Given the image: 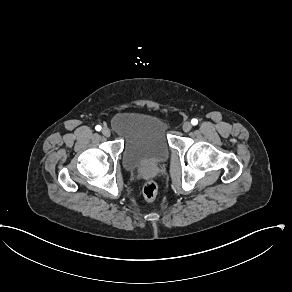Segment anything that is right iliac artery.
<instances>
[{"mask_svg": "<svg viewBox=\"0 0 292 292\" xmlns=\"http://www.w3.org/2000/svg\"><path fill=\"white\" fill-rule=\"evenodd\" d=\"M95 129H96V131H101L102 127H101L100 125H97V126L95 127Z\"/></svg>", "mask_w": 292, "mask_h": 292, "instance_id": "82829eb1", "label": "right iliac artery"}]
</instances>
